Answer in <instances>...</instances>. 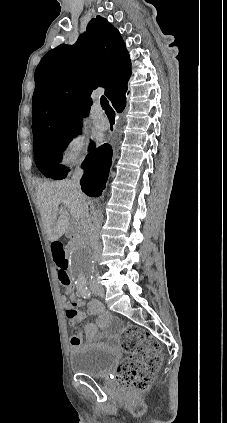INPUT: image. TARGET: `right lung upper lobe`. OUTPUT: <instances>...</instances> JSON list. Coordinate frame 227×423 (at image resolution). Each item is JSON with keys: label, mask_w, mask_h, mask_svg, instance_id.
Masks as SVG:
<instances>
[{"label": "right lung upper lobe", "mask_w": 227, "mask_h": 423, "mask_svg": "<svg viewBox=\"0 0 227 423\" xmlns=\"http://www.w3.org/2000/svg\"><path fill=\"white\" fill-rule=\"evenodd\" d=\"M131 61L120 33L106 19L90 20L73 46L50 50L35 71L33 140L80 132L90 94L105 88L112 105L126 99Z\"/></svg>", "instance_id": "right-lung-upper-lobe-1"}]
</instances>
